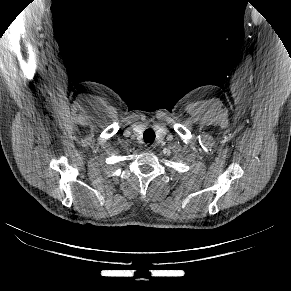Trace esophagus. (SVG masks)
Segmentation results:
<instances>
[{
    "label": "esophagus",
    "mask_w": 291,
    "mask_h": 291,
    "mask_svg": "<svg viewBox=\"0 0 291 291\" xmlns=\"http://www.w3.org/2000/svg\"><path fill=\"white\" fill-rule=\"evenodd\" d=\"M155 148V146L154 145H146V150H148V151H152L153 149Z\"/></svg>",
    "instance_id": "obj_1"
}]
</instances>
